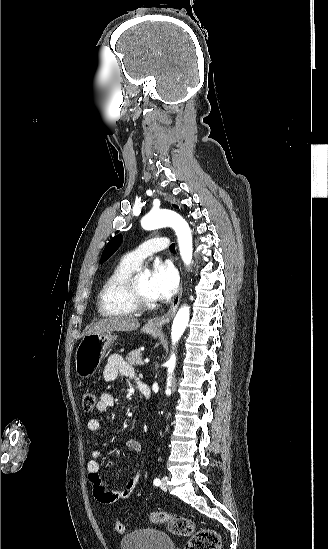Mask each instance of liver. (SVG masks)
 Segmentation results:
<instances>
[{"instance_id": "6515ba94", "label": "liver", "mask_w": 328, "mask_h": 549, "mask_svg": "<svg viewBox=\"0 0 328 549\" xmlns=\"http://www.w3.org/2000/svg\"><path fill=\"white\" fill-rule=\"evenodd\" d=\"M140 325L138 319H131V317H106V319H100L98 323H94L86 331V335L107 333V331H137Z\"/></svg>"}]
</instances>
